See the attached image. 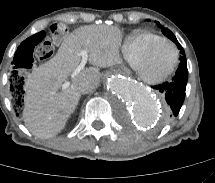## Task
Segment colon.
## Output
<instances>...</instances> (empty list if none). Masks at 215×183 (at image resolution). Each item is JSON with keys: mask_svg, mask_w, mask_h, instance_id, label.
I'll list each match as a JSON object with an SVG mask.
<instances>
[{"mask_svg": "<svg viewBox=\"0 0 215 183\" xmlns=\"http://www.w3.org/2000/svg\"><path fill=\"white\" fill-rule=\"evenodd\" d=\"M68 35V28L64 23H54L32 37H26L15 48L16 57L9 62L10 88L12 92L11 113L17 121L25 118L22 111V96L25 78L22 73L32 68L36 61H47L54 54V43L64 40Z\"/></svg>", "mask_w": 215, "mask_h": 183, "instance_id": "1", "label": "colon"}]
</instances>
